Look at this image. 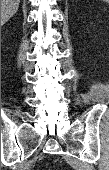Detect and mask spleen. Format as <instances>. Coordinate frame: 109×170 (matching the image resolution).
I'll use <instances>...</instances> for the list:
<instances>
[{
	"instance_id": "spleen-1",
	"label": "spleen",
	"mask_w": 109,
	"mask_h": 170,
	"mask_svg": "<svg viewBox=\"0 0 109 170\" xmlns=\"http://www.w3.org/2000/svg\"><path fill=\"white\" fill-rule=\"evenodd\" d=\"M103 1L108 2L109 0H103Z\"/></svg>"
}]
</instances>
